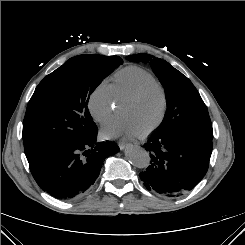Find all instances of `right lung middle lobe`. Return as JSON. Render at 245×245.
<instances>
[{"instance_id": "dd1d6c3e", "label": "right lung middle lobe", "mask_w": 245, "mask_h": 245, "mask_svg": "<svg viewBox=\"0 0 245 245\" xmlns=\"http://www.w3.org/2000/svg\"><path fill=\"white\" fill-rule=\"evenodd\" d=\"M122 62L119 56L78 55L39 83L23 121L28 160L65 143L81 141L97 130L87 106L89 97Z\"/></svg>"}]
</instances>
